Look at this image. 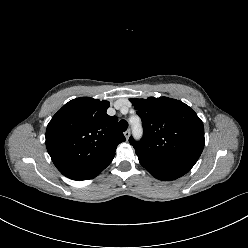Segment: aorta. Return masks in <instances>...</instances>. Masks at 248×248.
I'll list each match as a JSON object with an SVG mask.
<instances>
[{"label":"aorta","instance_id":"obj_1","mask_svg":"<svg viewBox=\"0 0 248 248\" xmlns=\"http://www.w3.org/2000/svg\"><path fill=\"white\" fill-rule=\"evenodd\" d=\"M133 132H134V135H135V137H140L141 136V128H140V126H138V125H134L133 126Z\"/></svg>","mask_w":248,"mask_h":248}]
</instances>
